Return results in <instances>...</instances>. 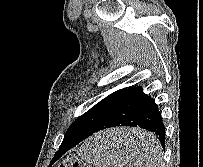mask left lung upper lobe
Returning a JSON list of instances; mask_svg holds the SVG:
<instances>
[{
	"mask_svg": "<svg viewBox=\"0 0 203 167\" xmlns=\"http://www.w3.org/2000/svg\"><path fill=\"white\" fill-rule=\"evenodd\" d=\"M128 88L120 89L98 102L89 111L78 117L68 128L64 138L73 135L89 134L108 116ZM55 158V157H54Z\"/></svg>",
	"mask_w": 203,
	"mask_h": 167,
	"instance_id": "1",
	"label": "left lung upper lobe"
}]
</instances>
